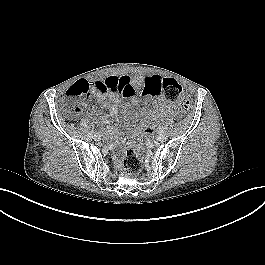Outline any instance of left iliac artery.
I'll list each match as a JSON object with an SVG mask.
<instances>
[{"label":"left iliac artery","mask_w":265,"mask_h":265,"mask_svg":"<svg viewBox=\"0 0 265 265\" xmlns=\"http://www.w3.org/2000/svg\"><path fill=\"white\" fill-rule=\"evenodd\" d=\"M160 132H164L165 128L163 126L159 127Z\"/></svg>","instance_id":"obj_1"}]
</instances>
